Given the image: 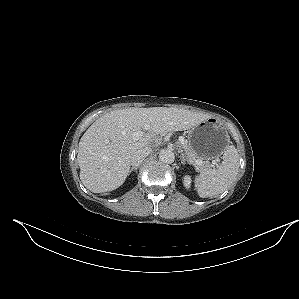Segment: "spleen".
Segmentation results:
<instances>
[{"label": "spleen", "mask_w": 299, "mask_h": 299, "mask_svg": "<svg viewBox=\"0 0 299 299\" xmlns=\"http://www.w3.org/2000/svg\"><path fill=\"white\" fill-rule=\"evenodd\" d=\"M239 169V155L234 145H229L223 154L222 163L216 168H204L195 178V188L202 198L216 197L235 180Z\"/></svg>", "instance_id": "3e777b00"}]
</instances>
